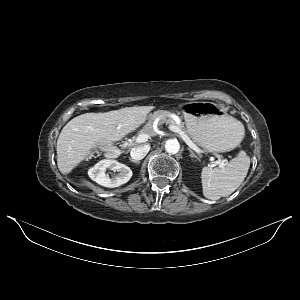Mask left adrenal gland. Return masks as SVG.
<instances>
[{
  "label": "left adrenal gland",
  "instance_id": "a2214340",
  "mask_svg": "<svg viewBox=\"0 0 300 300\" xmlns=\"http://www.w3.org/2000/svg\"><path fill=\"white\" fill-rule=\"evenodd\" d=\"M188 150L190 152L191 158H196L197 160H200L199 157L191 149L188 148Z\"/></svg>",
  "mask_w": 300,
  "mask_h": 300
}]
</instances>
